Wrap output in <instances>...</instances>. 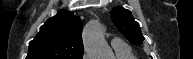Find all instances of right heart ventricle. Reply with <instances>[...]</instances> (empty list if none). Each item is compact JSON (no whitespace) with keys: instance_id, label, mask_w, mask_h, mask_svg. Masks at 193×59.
Instances as JSON below:
<instances>
[{"instance_id":"obj_1","label":"right heart ventricle","mask_w":193,"mask_h":59,"mask_svg":"<svg viewBox=\"0 0 193 59\" xmlns=\"http://www.w3.org/2000/svg\"><path fill=\"white\" fill-rule=\"evenodd\" d=\"M116 59H137L131 48L114 50Z\"/></svg>"}]
</instances>
